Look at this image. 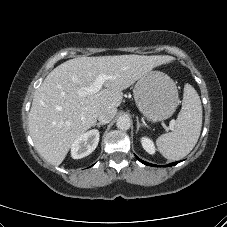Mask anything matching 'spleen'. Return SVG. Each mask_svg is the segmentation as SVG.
Masks as SVG:
<instances>
[{"mask_svg": "<svg viewBox=\"0 0 227 227\" xmlns=\"http://www.w3.org/2000/svg\"><path fill=\"white\" fill-rule=\"evenodd\" d=\"M202 106L198 93L190 84L184 87L182 108L172 132L156 140L160 153L168 160H179L191 152L200 136Z\"/></svg>", "mask_w": 227, "mask_h": 227, "instance_id": "obj_1", "label": "spleen"}]
</instances>
